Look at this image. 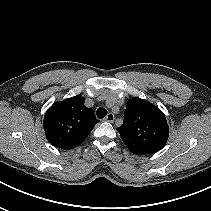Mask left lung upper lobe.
Listing matches in <instances>:
<instances>
[{
  "mask_svg": "<svg viewBox=\"0 0 211 211\" xmlns=\"http://www.w3.org/2000/svg\"><path fill=\"white\" fill-rule=\"evenodd\" d=\"M117 130L127 148L136 155L153 154L161 150L169 136L163 112L138 97L127 102L123 125Z\"/></svg>",
  "mask_w": 211,
  "mask_h": 211,
  "instance_id": "5c2ea615",
  "label": "left lung upper lobe"
}]
</instances>
